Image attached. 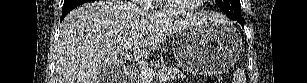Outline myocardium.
Returning a JSON list of instances; mask_svg holds the SVG:
<instances>
[{
  "label": "myocardium",
  "instance_id": "1",
  "mask_svg": "<svg viewBox=\"0 0 307 83\" xmlns=\"http://www.w3.org/2000/svg\"><path fill=\"white\" fill-rule=\"evenodd\" d=\"M206 0H198L197 3H195L191 7H180V8H175L171 5L170 1H161L160 3V9L168 14L172 15H188L191 13H194L198 11L199 9L202 8V4L205 3Z\"/></svg>",
  "mask_w": 307,
  "mask_h": 83
}]
</instances>
